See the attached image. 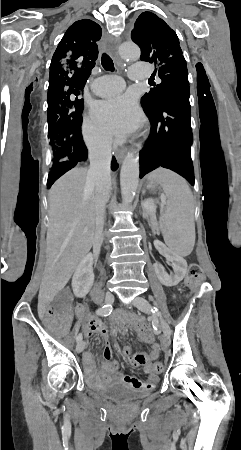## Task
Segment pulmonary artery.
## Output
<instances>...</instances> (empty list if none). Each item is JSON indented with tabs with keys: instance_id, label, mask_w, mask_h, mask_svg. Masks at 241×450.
I'll list each match as a JSON object with an SVG mask.
<instances>
[{
	"instance_id": "pulmonary-artery-1",
	"label": "pulmonary artery",
	"mask_w": 241,
	"mask_h": 450,
	"mask_svg": "<svg viewBox=\"0 0 241 450\" xmlns=\"http://www.w3.org/2000/svg\"><path fill=\"white\" fill-rule=\"evenodd\" d=\"M130 78H142L143 80L154 81L150 72L149 64H132L129 71ZM125 85V80L119 78L117 74H99L98 78L93 80L91 90L96 92L98 97H109L114 92H119L120 87Z\"/></svg>"
}]
</instances>
